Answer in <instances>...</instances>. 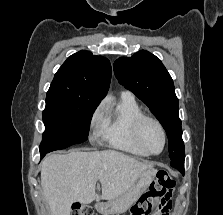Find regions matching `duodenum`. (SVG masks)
I'll use <instances>...</instances> for the list:
<instances>
[{
	"label": "duodenum",
	"instance_id": "410a0bca",
	"mask_svg": "<svg viewBox=\"0 0 223 215\" xmlns=\"http://www.w3.org/2000/svg\"><path fill=\"white\" fill-rule=\"evenodd\" d=\"M96 207H97V209H99V210L101 209V206H100V205H97Z\"/></svg>",
	"mask_w": 223,
	"mask_h": 215
}]
</instances>
